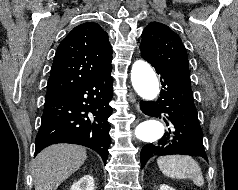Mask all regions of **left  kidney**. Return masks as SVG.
Listing matches in <instances>:
<instances>
[{"label": "left kidney", "instance_id": "left-kidney-1", "mask_svg": "<svg viewBox=\"0 0 238 190\" xmlns=\"http://www.w3.org/2000/svg\"><path fill=\"white\" fill-rule=\"evenodd\" d=\"M160 190H175V189L168 185L163 184L160 186Z\"/></svg>", "mask_w": 238, "mask_h": 190}]
</instances>
